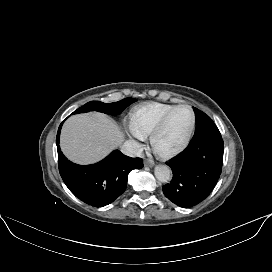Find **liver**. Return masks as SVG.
<instances>
[{
  "label": "liver",
  "mask_w": 272,
  "mask_h": 272,
  "mask_svg": "<svg viewBox=\"0 0 272 272\" xmlns=\"http://www.w3.org/2000/svg\"><path fill=\"white\" fill-rule=\"evenodd\" d=\"M123 141L117 123L94 112L71 116L62 127L60 146L69 160L87 165L102 160Z\"/></svg>",
  "instance_id": "1"
}]
</instances>
